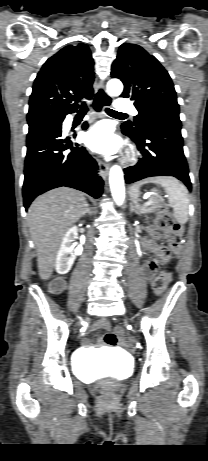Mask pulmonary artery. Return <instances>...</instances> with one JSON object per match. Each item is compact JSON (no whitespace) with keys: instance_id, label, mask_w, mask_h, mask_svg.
<instances>
[{"instance_id":"pulmonary-artery-1","label":"pulmonary artery","mask_w":208,"mask_h":461,"mask_svg":"<svg viewBox=\"0 0 208 461\" xmlns=\"http://www.w3.org/2000/svg\"><path fill=\"white\" fill-rule=\"evenodd\" d=\"M115 107L116 110L121 113H131L133 115L137 114V110L133 104L124 98H119L115 104Z\"/></svg>"}]
</instances>
